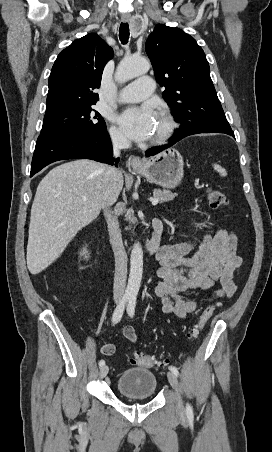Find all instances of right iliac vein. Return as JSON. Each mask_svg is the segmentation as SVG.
I'll use <instances>...</instances> for the list:
<instances>
[{
	"mask_svg": "<svg viewBox=\"0 0 272 452\" xmlns=\"http://www.w3.org/2000/svg\"><path fill=\"white\" fill-rule=\"evenodd\" d=\"M108 371H109L108 366H107V365H103V366L100 368V377H101V378L106 377L107 374H108Z\"/></svg>",
	"mask_w": 272,
	"mask_h": 452,
	"instance_id": "right-iliac-vein-1",
	"label": "right iliac vein"
}]
</instances>
